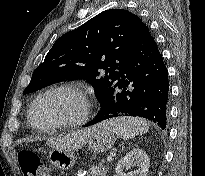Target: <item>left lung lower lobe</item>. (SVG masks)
I'll use <instances>...</instances> for the list:
<instances>
[{
  "label": "left lung lower lobe",
  "mask_w": 205,
  "mask_h": 176,
  "mask_svg": "<svg viewBox=\"0 0 205 176\" xmlns=\"http://www.w3.org/2000/svg\"><path fill=\"white\" fill-rule=\"evenodd\" d=\"M168 101V71L146 26L123 60L117 82L100 100L97 116L85 127L111 118L139 116L165 129Z\"/></svg>",
  "instance_id": "obj_1"
}]
</instances>
